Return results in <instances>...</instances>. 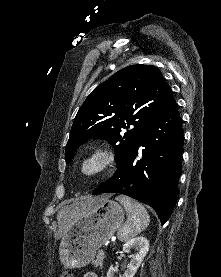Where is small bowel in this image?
I'll return each mask as SVG.
<instances>
[{"label":"small bowel","instance_id":"1","mask_svg":"<svg viewBox=\"0 0 221 277\" xmlns=\"http://www.w3.org/2000/svg\"><path fill=\"white\" fill-rule=\"evenodd\" d=\"M83 277H98V276L95 273L88 272V273L84 274Z\"/></svg>","mask_w":221,"mask_h":277}]
</instances>
